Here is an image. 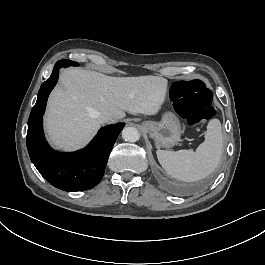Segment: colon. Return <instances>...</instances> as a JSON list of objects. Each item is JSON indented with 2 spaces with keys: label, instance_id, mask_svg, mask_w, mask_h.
<instances>
[{
  "label": "colon",
  "instance_id": "obj_1",
  "mask_svg": "<svg viewBox=\"0 0 265 265\" xmlns=\"http://www.w3.org/2000/svg\"><path fill=\"white\" fill-rule=\"evenodd\" d=\"M168 83L166 95L188 124L197 126L215 117L216 109L211 99L213 91L202 84L197 76L189 80L173 78Z\"/></svg>",
  "mask_w": 265,
  "mask_h": 265
}]
</instances>
